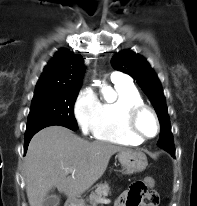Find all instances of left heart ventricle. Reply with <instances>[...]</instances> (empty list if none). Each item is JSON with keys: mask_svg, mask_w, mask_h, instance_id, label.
I'll return each instance as SVG.
<instances>
[{"mask_svg": "<svg viewBox=\"0 0 197 206\" xmlns=\"http://www.w3.org/2000/svg\"><path fill=\"white\" fill-rule=\"evenodd\" d=\"M140 131L146 136H152L156 132L154 118L149 113H144L138 121Z\"/></svg>", "mask_w": 197, "mask_h": 206, "instance_id": "left-heart-ventricle-1", "label": "left heart ventricle"}]
</instances>
